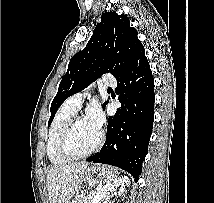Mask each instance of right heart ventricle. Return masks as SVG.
<instances>
[{
	"label": "right heart ventricle",
	"mask_w": 214,
	"mask_h": 203,
	"mask_svg": "<svg viewBox=\"0 0 214 203\" xmlns=\"http://www.w3.org/2000/svg\"><path fill=\"white\" fill-rule=\"evenodd\" d=\"M75 113L76 110L71 108L66 101L51 123L46 140V152L49 160L54 165L61 166L69 162V159L65 158L59 151V140L63 129Z\"/></svg>",
	"instance_id": "1"
}]
</instances>
